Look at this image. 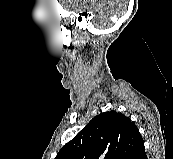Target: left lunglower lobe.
<instances>
[{"instance_id": "0a47b994", "label": "left lung lower lobe", "mask_w": 173, "mask_h": 159, "mask_svg": "<svg viewBox=\"0 0 173 159\" xmlns=\"http://www.w3.org/2000/svg\"><path fill=\"white\" fill-rule=\"evenodd\" d=\"M129 159H147L144 142L131 154Z\"/></svg>"}]
</instances>
